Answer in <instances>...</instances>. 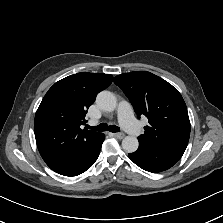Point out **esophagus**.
<instances>
[{"label":"esophagus","mask_w":223,"mask_h":223,"mask_svg":"<svg viewBox=\"0 0 223 223\" xmlns=\"http://www.w3.org/2000/svg\"><path fill=\"white\" fill-rule=\"evenodd\" d=\"M113 135L115 138H118V139H122L125 136L124 133H114Z\"/></svg>","instance_id":"esophagus-1"}]
</instances>
